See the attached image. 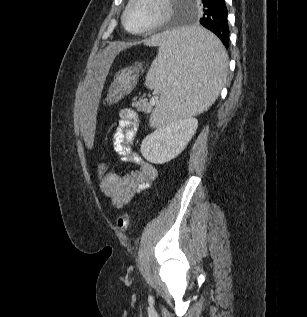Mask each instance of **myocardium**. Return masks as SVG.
Masks as SVG:
<instances>
[{
  "label": "myocardium",
  "instance_id": "myocardium-1",
  "mask_svg": "<svg viewBox=\"0 0 307 317\" xmlns=\"http://www.w3.org/2000/svg\"><path fill=\"white\" fill-rule=\"evenodd\" d=\"M138 0H129L127 5L124 8V11L122 13V17H121V22H122V26L124 27V29L131 33V34H135V35H141V34H146L149 33L157 28H159L160 26H162L164 23H166L171 14H172V3L171 0H158V2L161 4L162 6V11L159 14V16L148 26L139 29V30H131L128 28L127 23H126V18L127 15L131 9V7L137 2Z\"/></svg>",
  "mask_w": 307,
  "mask_h": 317
}]
</instances>
